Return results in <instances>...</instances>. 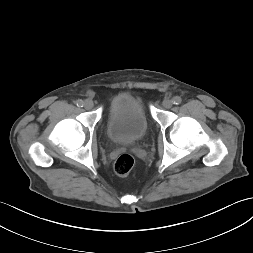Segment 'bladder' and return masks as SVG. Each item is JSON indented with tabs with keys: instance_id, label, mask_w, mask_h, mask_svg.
Masks as SVG:
<instances>
[{
	"instance_id": "obj_1",
	"label": "bladder",
	"mask_w": 253,
	"mask_h": 253,
	"mask_svg": "<svg viewBox=\"0 0 253 253\" xmlns=\"http://www.w3.org/2000/svg\"><path fill=\"white\" fill-rule=\"evenodd\" d=\"M148 121L141 101L128 93H119L110 102L106 133L117 145H132L142 140Z\"/></svg>"
}]
</instances>
